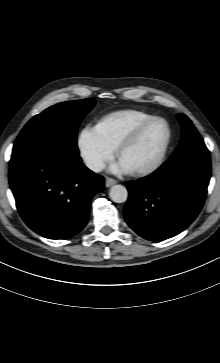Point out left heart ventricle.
<instances>
[{"label": "left heart ventricle", "instance_id": "left-heart-ventricle-1", "mask_svg": "<svg viewBox=\"0 0 220 363\" xmlns=\"http://www.w3.org/2000/svg\"><path fill=\"white\" fill-rule=\"evenodd\" d=\"M166 127L157 122L143 131L138 139L118 157L131 170L146 167L158 157L166 140Z\"/></svg>", "mask_w": 220, "mask_h": 363}]
</instances>
